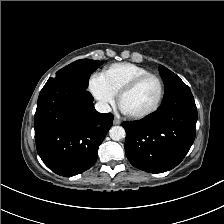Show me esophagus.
<instances>
[{"label": "esophagus", "mask_w": 224, "mask_h": 224, "mask_svg": "<svg viewBox=\"0 0 224 224\" xmlns=\"http://www.w3.org/2000/svg\"><path fill=\"white\" fill-rule=\"evenodd\" d=\"M113 124H114V125H119V124H121V120L118 119V118H114V120H113Z\"/></svg>", "instance_id": "34e87169"}]
</instances>
